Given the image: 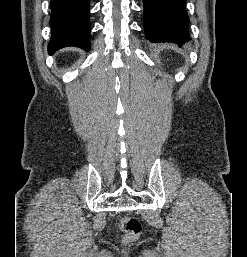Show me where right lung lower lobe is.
<instances>
[{"mask_svg": "<svg viewBox=\"0 0 247 257\" xmlns=\"http://www.w3.org/2000/svg\"><path fill=\"white\" fill-rule=\"evenodd\" d=\"M52 35L49 54L75 46L90 49L89 0H50Z\"/></svg>", "mask_w": 247, "mask_h": 257, "instance_id": "98d812e1", "label": "right lung lower lobe"}]
</instances>
